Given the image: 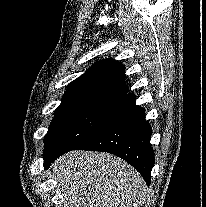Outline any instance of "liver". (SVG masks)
<instances>
[{"mask_svg": "<svg viewBox=\"0 0 206 207\" xmlns=\"http://www.w3.org/2000/svg\"><path fill=\"white\" fill-rule=\"evenodd\" d=\"M64 207H140L147 193L140 174L105 152L71 151L52 164Z\"/></svg>", "mask_w": 206, "mask_h": 207, "instance_id": "6515ba94", "label": "liver"}]
</instances>
